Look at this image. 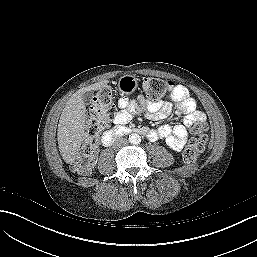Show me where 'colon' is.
<instances>
[{
  "mask_svg": "<svg viewBox=\"0 0 257 257\" xmlns=\"http://www.w3.org/2000/svg\"><path fill=\"white\" fill-rule=\"evenodd\" d=\"M169 80L160 78H148L144 82L146 96L153 102L161 99L172 87ZM114 92L111 88L101 89L92 99L90 114L86 125V136L72 167L85 174L91 170L92 159L97 147L101 132L108 126L114 115ZM193 131L195 137L183 152L184 161L188 164L195 163L203 153L207 142V125L204 121L197 123Z\"/></svg>",
  "mask_w": 257,
  "mask_h": 257,
  "instance_id": "obj_1",
  "label": "colon"
}]
</instances>
